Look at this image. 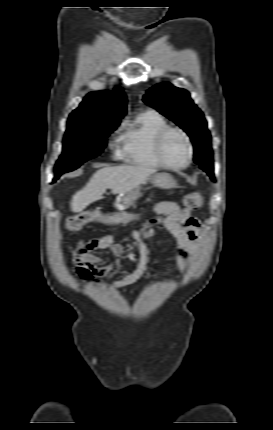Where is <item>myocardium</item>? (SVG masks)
Segmentation results:
<instances>
[{
  "label": "myocardium",
  "mask_w": 273,
  "mask_h": 430,
  "mask_svg": "<svg viewBox=\"0 0 273 430\" xmlns=\"http://www.w3.org/2000/svg\"><path fill=\"white\" fill-rule=\"evenodd\" d=\"M171 132H178L179 134H181L185 141H186V145L188 148V158L187 161L182 164V165H173L168 163L164 156H163V143L164 140L166 138V136L171 133ZM154 151H155V156L158 160V162L165 168L167 169H171V170H183L185 168H187L193 160V156H194V150H193V145L190 139V136L188 135V133L183 130L182 128L179 127H175V126H168L163 128L156 136L155 138V143H154Z\"/></svg>",
  "instance_id": "1"
}]
</instances>
